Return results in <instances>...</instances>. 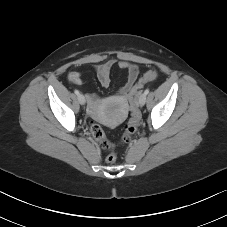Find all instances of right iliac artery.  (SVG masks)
<instances>
[{
    "mask_svg": "<svg viewBox=\"0 0 227 227\" xmlns=\"http://www.w3.org/2000/svg\"><path fill=\"white\" fill-rule=\"evenodd\" d=\"M74 93H75L76 95H79V94H80L78 90H75Z\"/></svg>",
    "mask_w": 227,
    "mask_h": 227,
    "instance_id": "right-iliac-artery-1",
    "label": "right iliac artery"
}]
</instances>
